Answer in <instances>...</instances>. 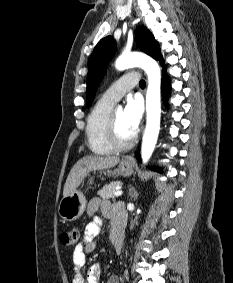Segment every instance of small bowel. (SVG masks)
Returning a JSON list of instances; mask_svg holds the SVG:
<instances>
[{
    "instance_id": "obj_1",
    "label": "small bowel",
    "mask_w": 233,
    "mask_h": 283,
    "mask_svg": "<svg viewBox=\"0 0 233 283\" xmlns=\"http://www.w3.org/2000/svg\"><path fill=\"white\" fill-rule=\"evenodd\" d=\"M100 210L104 217L113 219L115 226L122 222L125 223L124 213L117 207L107 203L100 198H93L87 206V214L93 217ZM102 221L95 217L90 221L84 230V236L73 251V266L75 276L72 283H99L101 276V266L98 263L92 264L88 270L87 277L84 278L81 270L86 263V255L93 252L97 247V237L101 232ZM107 283H119V279L115 275L108 278Z\"/></svg>"
}]
</instances>
